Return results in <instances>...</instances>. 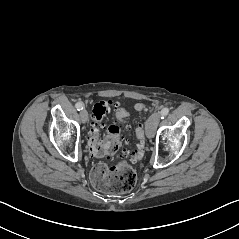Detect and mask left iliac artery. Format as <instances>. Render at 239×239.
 Wrapping results in <instances>:
<instances>
[{
  "instance_id": "1",
  "label": "left iliac artery",
  "mask_w": 239,
  "mask_h": 239,
  "mask_svg": "<svg viewBox=\"0 0 239 239\" xmlns=\"http://www.w3.org/2000/svg\"><path fill=\"white\" fill-rule=\"evenodd\" d=\"M169 113V108L167 107H164L161 112H160V115H161V119H163L164 117H166Z\"/></svg>"
}]
</instances>
